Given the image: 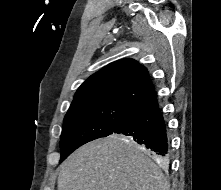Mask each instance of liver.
Wrapping results in <instances>:
<instances>
[{"label":"liver","instance_id":"obj_1","mask_svg":"<svg viewBox=\"0 0 221 190\" xmlns=\"http://www.w3.org/2000/svg\"><path fill=\"white\" fill-rule=\"evenodd\" d=\"M158 163L159 160H156ZM160 165L113 134L78 148L59 167L57 190H169Z\"/></svg>","mask_w":221,"mask_h":190}]
</instances>
